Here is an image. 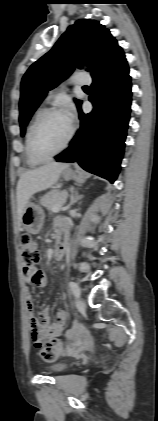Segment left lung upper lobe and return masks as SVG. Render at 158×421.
<instances>
[{"label":"left lung upper lobe","instance_id":"1","mask_svg":"<svg viewBox=\"0 0 158 421\" xmlns=\"http://www.w3.org/2000/svg\"><path fill=\"white\" fill-rule=\"evenodd\" d=\"M116 39L99 21L80 19L59 38L53 48L30 66L21 81V135L48 90L56 87L74 70L86 64L95 74L118 48ZM80 108L81 101L75 100Z\"/></svg>","mask_w":158,"mask_h":421}]
</instances>
